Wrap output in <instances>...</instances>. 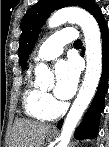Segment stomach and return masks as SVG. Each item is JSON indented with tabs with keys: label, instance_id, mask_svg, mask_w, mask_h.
<instances>
[{
	"label": "stomach",
	"instance_id": "stomach-1",
	"mask_svg": "<svg viewBox=\"0 0 109 147\" xmlns=\"http://www.w3.org/2000/svg\"><path fill=\"white\" fill-rule=\"evenodd\" d=\"M55 136V133L52 131H48L46 138L47 139H52Z\"/></svg>",
	"mask_w": 109,
	"mask_h": 147
}]
</instances>
